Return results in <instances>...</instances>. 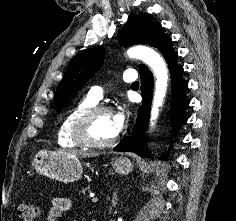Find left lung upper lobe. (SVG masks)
<instances>
[{
	"label": "left lung upper lobe",
	"mask_w": 236,
	"mask_h": 221,
	"mask_svg": "<svg viewBox=\"0 0 236 221\" xmlns=\"http://www.w3.org/2000/svg\"><path fill=\"white\" fill-rule=\"evenodd\" d=\"M162 35H164V32L161 24L157 23L152 15L145 13L130 15L127 23L119 32L122 46L135 44L154 46ZM104 54V48L87 49L79 53L69 63L53 100V105L57 112H61L68 100L101 67Z\"/></svg>",
	"instance_id": "obj_1"
}]
</instances>
